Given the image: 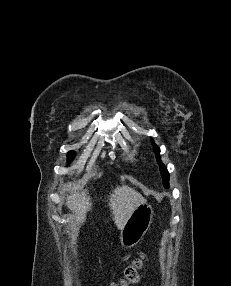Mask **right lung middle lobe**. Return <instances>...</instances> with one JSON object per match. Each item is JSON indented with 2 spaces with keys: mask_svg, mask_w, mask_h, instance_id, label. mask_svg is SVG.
Masks as SVG:
<instances>
[{
  "mask_svg": "<svg viewBox=\"0 0 231 286\" xmlns=\"http://www.w3.org/2000/svg\"><path fill=\"white\" fill-rule=\"evenodd\" d=\"M67 156H68V160L71 161L75 157V153L73 151H71V152L68 153Z\"/></svg>",
  "mask_w": 231,
  "mask_h": 286,
  "instance_id": "dd1d6c3e",
  "label": "right lung middle lobe"
}]
</instances>
